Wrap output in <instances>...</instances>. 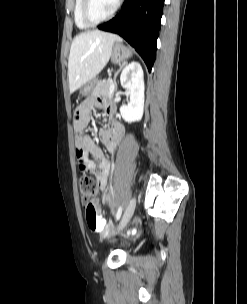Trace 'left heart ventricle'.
<instances>
[{"mask_svg":"<svg viewBox=\"0 0 247 304\" xmlns=\"http://www.w3.org/2000/svg\"><path fill=\"white\" fill-rule=\"evenodd\" d=\"M118 0H92L90 15L98 20L108 16L115 8Z\"/></svg>","mask_w":247,"mask_h":304,"instance_id":"obj_1","label":"left heart ventricle"}]
</instances>
